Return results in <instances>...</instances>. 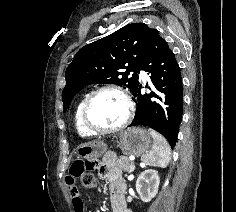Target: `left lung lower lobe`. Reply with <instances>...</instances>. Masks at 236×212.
I'll list each match as a JSON object with an SVG mask.
<instances>
[{"instance_id": "left-lung-lower-lobe-1", "label": "left lung lower lobe", "mask_w": 236, "mask_h": 212, "mask_svg": "<svg viewBox=\"0 0 236 212\" xmlns=\"http://www.w3.org/2000/svg\"><path fill=\"white\" fill-rule=\"evenodd\" d=\"M150 74V93L141 94L139 83L133 91L136 112L131 126L146 125L161 133L175 146L183 113V83L175 54L168 43L153 29L139 67Z\"/></svg>"}]
</instances>
